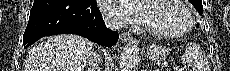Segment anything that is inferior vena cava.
I'll return each mask as SVG.
<instances>
[{
	"mask_svg": "<svg viewBox=\"0 0 230 71\" xmlns=\"http://www.w3.org/2000/svg\"><path fill=\"white\" fill-rule=\"evenodd\" d=\"M105 24L108 28L113 29V30H119L122 27V25L120 23H118L114 20L108 19V18L105 19ZM92 55L93 56H91L88 60V64L91 67V70L92 71H100V67H99L100 58L95 53Z\"/></svg>",
	"mask_w": 230,
	"mask_h": 71,
	"instance_id": "obj_1",
	"label": "inferior vena cava"
}]
</instances>
